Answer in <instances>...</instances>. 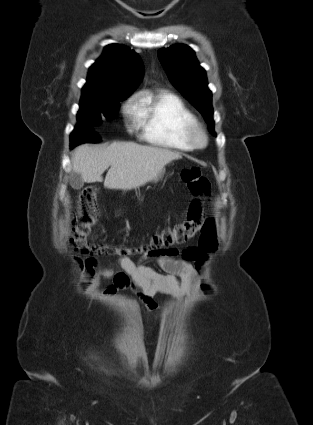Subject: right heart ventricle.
Here are the masks:
<instances>
[{
	"mask_svg": "<svg viewBox=\"0 0 313 425\" xmlns=\"http://www.w3.org/2000/svg\"><path fill=\"white\" fill-rule=\"evenodd\" d=\"M134 114L141 136L148 143L178 151L194 149L187 132L197 119L176 95L165 91L142 93Z\"/></svg>",
	"mask_w": 313,
	"mask_h": 425,
	"instance_id": "obj_1",
	"label": "right heart ventricle"
}]
</instances>
